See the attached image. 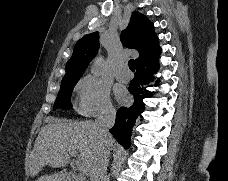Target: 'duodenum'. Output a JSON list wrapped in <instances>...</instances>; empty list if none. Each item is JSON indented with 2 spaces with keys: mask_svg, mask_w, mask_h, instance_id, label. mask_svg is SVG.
I'll use <instances>...</instances> for the list:
<instances>
[{
  "mask_svg": "<svg viewBox=\"0 0 228 181\" xmlns=\"http://www.w3.org/2000/svg\"><path fill=\"white\" fill-rule=\"evenodd\" d=\"M74 175L73 174H68L67 178L65 179V181H73Z\"/></svg>",
  "mask_w": 228,
  "mask_h": 181,
  "instance_id": "obj_1",
  "label": "duodenum"
}]
</instances>
